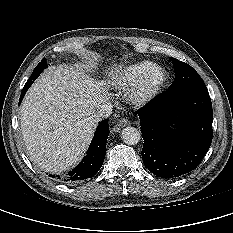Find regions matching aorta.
Here are the masks:
<instances>
[{
	"mask_svg": "<svg viewBox=\"0 0 233 233\" xmlns=\"http://www.w3.org/2000/svg\"><path fill=\"white\" fill-rule=\"evenodd\" d=\"M141 133L134 127H126L121 132V139L127 145H135L140 141Z\"/></svg>",
	"mask_w": 233,
	"mask_h": 233,
	"instance_id": "aorta-1",
	"label": "aorta"
}]
</instances>
